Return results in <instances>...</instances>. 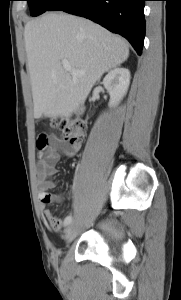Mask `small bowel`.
<instances>
[{
	"label": "small bowel",
	"mask_w": 181,
	"mask_h": 300,
	"mask_svg": "<svg viewBox=\"0 0 181 300\" xmlns=\"http://www.w3.org/2000/svg\"><path fill=\"white\" fill-rule=\"evenodd\" d=\"M63 144L60 139L54 135L49 136L48 145L43 151L42 158L36 166V177L38 194L41 205L44 207L43 214L48 220L52 229L59 231L62 227V221L54 216L51 209L46 208L52 202H61L62 197L59 195L49 194L48 191L55 186L52 178L57 174L56 165L61 158L60 150ZM77 152V148H72L66 151L67 156H73Z\"/></svg>",
	"instance_id": "obj_1"
}]
</instances>
